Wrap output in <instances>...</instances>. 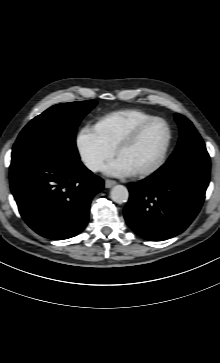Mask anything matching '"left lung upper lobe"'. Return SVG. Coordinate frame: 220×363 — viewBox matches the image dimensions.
Wrapping results in <instances>:
<instances>
[{"instance_id": "left-lung-upper-lobe-1", "label": "left lung upper lobe", "mask_w": 220, "mask_h": 363, "mask_svg": "<svg viewBox=\"0 0 220 363\" xmlns=\"http://www.w3.org/2000/svg\"><path fill=\"white\" fill-rule=\"evenodd\" d=\"M175 119L180 129V139L170 158L190 151H206L205 144L193 124L184 116L176 113Z\"/></svg>"}]
</instances>
